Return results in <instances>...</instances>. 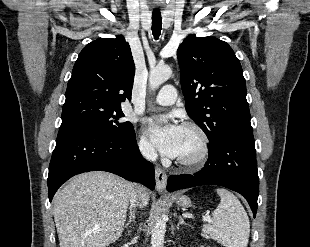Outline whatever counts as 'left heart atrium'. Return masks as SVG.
<instances>
[{"label": "left heart atrium", "instance_id": "1", "mask_svg": "<svg viewBox=\"0 0 310 247\" xmlns=\"http://www.w3.org/2000/svg\"><path fill=\"white\" fill-rule=\"evenodd\" d=\"M149 132L156 147L163 154L177 157L182 127L170 118L157 117L150 121Z\"/></svg>", "mask_w": 310, "mask_h": 247}]
</instances>
